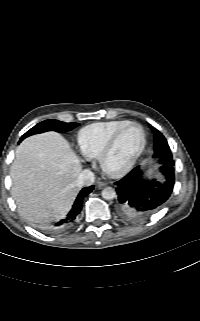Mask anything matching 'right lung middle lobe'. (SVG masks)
Instances as JSON below:
<instances>
[{"instance_id":"1","label":"right lung middle lobe","mask_w":200,"mask_h":321,"mask_svg":"<svg viewBox=\"0 0 200 321\" xmlns=\"http://www.w3.org/2000/svg\"><path fill=\"white\" fill-rule=\"evenodd\" d=\"M78 125H79L78 123H65V122H61L58 120H54V119L45 120V121L37 124L33 128H31L30 130H28L21 137L20 142L28 136L43 133L46 131H56V132H60V133L68 132V131L76 128Z\"/></svg>"}]
</instances>
